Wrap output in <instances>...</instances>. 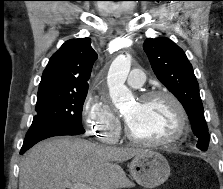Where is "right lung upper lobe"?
<instances>
[{"label": "right lung upper lobe", "mask_w": 223, "mask_h": 189, "mask_svg": "<svg viewBox=\"0 0 223 189\" xmlns=\"http://www.w3.org/2000/svg\"><path fill=\"white\" fill-rule=\"evenodd\" d=\"M90 38L70 39L50 58L38 93L88 89L97 53Z\"/></svg>", "instance_id": "obj_1"}]
</instances>
